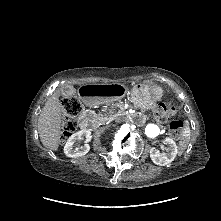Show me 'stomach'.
I'll return each instance as SVG.
<instances>
[{
	"mask_svg": "<svg viewBox=\"0 0 221 221\" xmlns=\"http://www.w3.org/2000/svg\"><path fill=\"white\" fill-rule=\"evenodd\" d=\"M163 95V89L157 84H135L130 92L131 101L139 107L148 108Z\"/></svg>",
	"mask_w": 221,
	"mask_h": 221,
	"instance_id": "1",
	"label": "stomach"
}]
</instances>
